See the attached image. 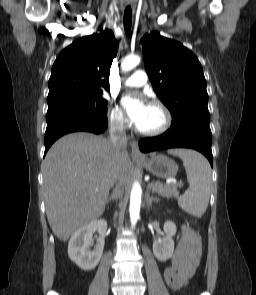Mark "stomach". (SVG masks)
Masks as SVG:
<instances>
[{
  "mask_svg": "<svg viewBox=\"0 0 256 295\" xmlns=\"http://www.w3.org/2000/svg\"><path fill=\"white\" fill-rule=\"evenodd\" d=\"M141 164L153 175L162 178H172L178 171L177 164L163 154H152L150 158L141 160Z\"/></svg>",
  "mask_w": 256,
  "mask_h": 295,
  "instance_id": "stomach-1",
  "label": "stomach"
}]
</instances>
